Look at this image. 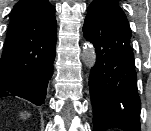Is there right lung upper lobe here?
<instances>
[{
	"label": "right lung upper lobe",
	"instance_id": "obj_1",
	"mask_svg": "<svg viewBox=\"0 0 151 131\" xmlns=\"http://www.w3.org/2000/svg\"><path fill=\"white\" fill-rule=\"evenodd\" d=\"M55 8L48 0H20L10 24L0 62V86L11 85L38 70L56 45Z\"/></svg>",
	"mask_w": 151,
	"mask_h": 131
}]
</instances>
